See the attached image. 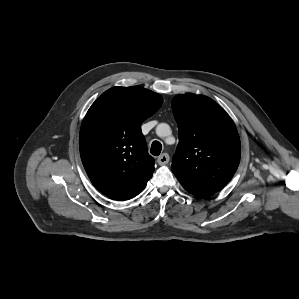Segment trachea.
<instances>
[{
	"label": "trachea",
	"mask_w": 299,
	"mask_h": 299,
	"mask_svg": "<svg viewBox=\"0 0 299 299\" xmlns=\"http://www.w3.org/2000/svg\"><path fill=\"white\" fill-rule=\"evenodd\" d=\"M161 150H162L161 143L158 141H153L150 149L151 154L154 156H159Z\"/></svg>",
	"instance_id": "trachea-1"
}]
</instances>
